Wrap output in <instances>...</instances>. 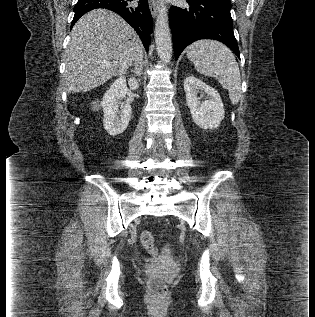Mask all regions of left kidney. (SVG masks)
I'll list each match as a JSON object with an SVG mask.
<instances>
[{
  "mask_svg": "<svg viewBox=\"0 0 315 317\" xmlns=\"http://www.w3.org/2000/svg\"><path fill=\"white\" fill-rule=\"evenodd\" d=\"M186 104L190 108L192 119L203 129H215L224 119V107L219 93L200 79L190 76L184 81ZM198 93H205L208 100L200 101Z\"/></svg>",
  "mask_w": 315,
  "mask_h": 317,
  "instance_id": "1",
  "label": "left kidney"
}]
</instances>
